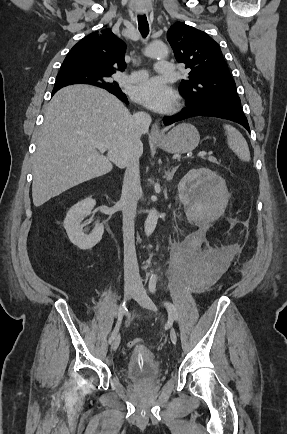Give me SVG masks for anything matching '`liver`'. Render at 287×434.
<instances>
[{
  "label": "liver",
  "mask_w": 287,
  "mask_h": 434,
  "mask_svg": "<svg viewBox=\"0 0 287 434\" xmlns=\"http://www.w3.org/2000/svg\"><path fill=\"white\" fill-rule=\"evenodd\" d=\"M44 117L33 164L35 207L109 173L113 164L127 167L133 154L140 157L143 153L133 116L119 99L103 89L64 87L53 96ZM93 141L107 145L106 156L98 152Z\"/></svg>",
  "instance_id": "liver-1"
}]
</instances>
